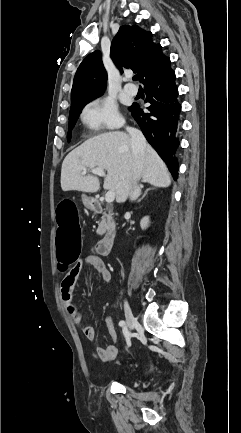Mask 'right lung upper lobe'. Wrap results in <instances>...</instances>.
Here are the masks:
<instances>
[{"label":"right lung upper lobe","mask_w":241,"mask_h":433,"mask_svg":"<svg viewBox=\"0 0 241 433\" xmlns=\"http://www.w3.org/2000/svg\"><path fill=\"white\" fill-rule=\"evenodd\" d=\"M111 58L115 65L131 67L144 83L158 74L170 58L162 53L160 44L152 41V33L138 26H121L111 43ZM107 73L99 51L89 54L80 64L73 81L71 106L77 102L97 98L106 88Z\"/></svg>","instance_id":"obj_1"}]
</instances>
